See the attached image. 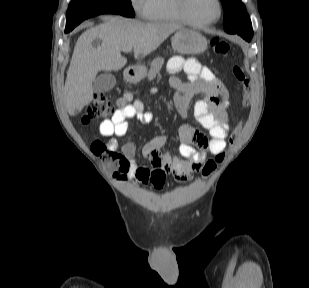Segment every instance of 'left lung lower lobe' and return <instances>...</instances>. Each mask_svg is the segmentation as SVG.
Returning a JSON list of instances; mask_svg holds the SVG:
<instances>
[{"label":"left lung lower lobe","instance_id":"0a47b994","mask_svg":"<svg viewBox=\"0 0 309 288\" xmlns=\"http://www.w3.org/2000/svg\"><path fill=\"white\" fill-rule=\"evenodd\" d=\"M230 34H238L240 35L241 37H243L246 41L250 42L252 36H253V29L252 27L251 28H248V29H245V30H233L231 32H228Z\"/></svg>","mask_w":309,"mask_h":288}]
</instances>
